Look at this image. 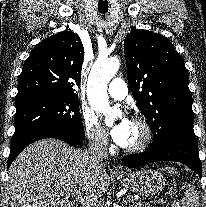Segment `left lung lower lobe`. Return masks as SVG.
I'll list each match as a JSON object with an SVG mask.
<instances>
[{"label": "left lung lower lobe", "mask_w": 206, "mask_h": 207, "mask_svg": "<svg viewBox=\"0 0 206 207\" xmlns=\"http://www.w3.org/2000/svg\"><path fill=\"white\" fill-rule=\"evenodd\" d=\"M155 161H177L185 164L202 177V164L198 153V143L193 134H180L164 144L122 159L129 168L141 167Z\"/></svg>", "instance_id": "1"}]
</instances>
